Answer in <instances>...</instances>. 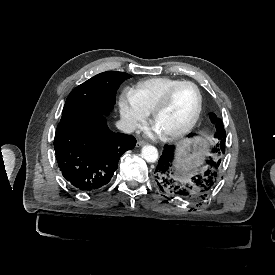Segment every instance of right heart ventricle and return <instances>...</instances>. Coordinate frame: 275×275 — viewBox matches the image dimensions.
<instances>
[{"mask_svg":"<svg viewBox=\"0 0 275 275\" xmlns=\"http://www.w3.org/2000/svg\"><path fill=\"white\" fill-rule=\"evenodd\" d=\"M178 80L169 77H155L138 83L134 94L140 104L152 112L165 91Z\"/></svg>","mask_w":275,"mask_h":275,"instance_id":"right-heart-ventricle-1","label":"right heart ventricle"}]
</instances>
